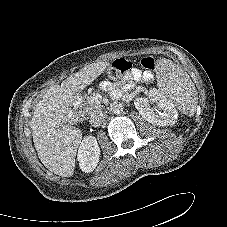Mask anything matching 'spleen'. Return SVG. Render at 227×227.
<instances>
[{"mask_svg":"<svg viewBox=\"0 0 227 227\" xmlns=\"http://www.w3.org/2000/svg\"><path fill=\"white\" fill-rule=\"evenodd\" d=\"M156 74L160 92L183 114L194 115L198 98L189 76L169 59L158 61Z\"/></svg>","mask_w":227,"mask_h":227,"instance_id":"3e777b00","label":"spleen"}]
</instances>
